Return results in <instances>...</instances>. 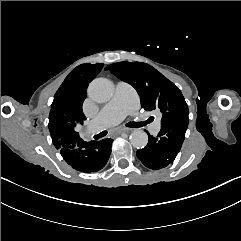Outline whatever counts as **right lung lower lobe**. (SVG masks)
Listing matches in <instances>:
<instances>
[{
    "mask_svg": "<svg viewBox=\"0 0 241 241\" xmlns=\"http://www.w3.org/2000/svg\"><path fill=\"white\" fill-rule=\"evenodd\" d=\"M112 142L110 138L90 142L80 138L60 147L59 151L63 159L77 171L97 172L106 165L111 154Z\"/></svg>",
    "mask_w": 241,
    "mask_h": 241,
    "instance_id": "obj_1",
    "label": "right lung lower lobe"
}]
</instances>
